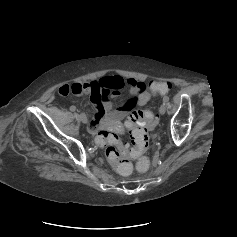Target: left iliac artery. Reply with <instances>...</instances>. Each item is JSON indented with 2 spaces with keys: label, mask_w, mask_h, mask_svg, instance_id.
<instances>
[{
  "label": "left iliac artery",
  "mask_w": 237,
  "mask_h": 237,
  "mask_svg": "<svg viewBox=\"0 0 237 237\" xmlns=\"http://www.w3.org/2000/svg\"><path fill=\"white\" fill-rule=\"evenodd\" d=\"M168 101H169V97L165 96V97L163 98V102H164V103H167Z\"/></svg>",
  "instance_id": "44dca946"
}]
</instances>
